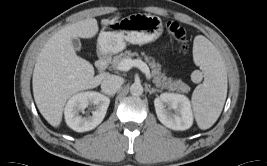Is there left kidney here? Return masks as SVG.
<instances>
[{
    "label": "left kidney",
    "instance_id": "left-kidney-1",
    "mask_svg": "<svg viewBox=\"0 0 267 166\" xmlns=\"http://www.w3.org/2000/svg\"><path fill=\"white\" fill-rule=\"evenodd\" d=\"M154 106L159 121L172 130H186L193 124L191 104L184 95L163 93L155 98Z\"/></svg>",
    "mask_w": 267,
    "mask_h": 166
}]
</instances>
